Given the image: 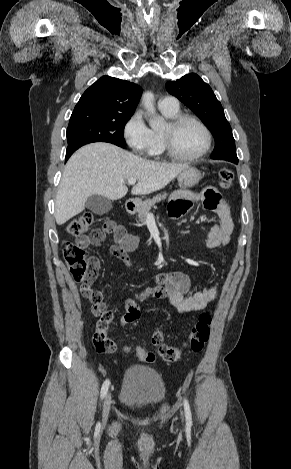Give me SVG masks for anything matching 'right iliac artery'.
I'll use <instances>...</instances> for the list:
<instances>
[{"label":"right iliac artery","mask_w":291,"mask_h":469,"mask_svg":"<svg viewBox=\"0 0 291 469\" xmlns=\"http://www.w3.org/2000/svg\"><path fill=\"white\" fill-rule=\"evenodd\" d=\"M109 385H110V381L107 379L101 387V398L102 399L106 396Z\"/></svg>","instance_id":"right-iliac-artery-1"}]
</instances>
